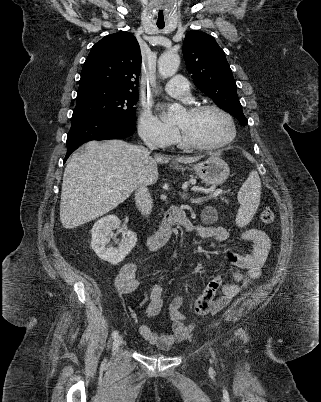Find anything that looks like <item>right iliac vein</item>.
Instances as JSON below:
<instances>
[{"mask_svg":"<svg viewBox=\"0 0 321 402\" xmlns=\"http://www.w3.org/2000/svg\"><path fill=\"white\" fill-rule=\"evenodd\" d=\"M123 342V336L119 335L115 338L114 342H113V353L115 354L118 350V348L120 347V345Z\"/></svg>","mask_w":321,"mask_h":402,"instance_id":"63e3f726","label":"right iliac vein"}]
</instances>
